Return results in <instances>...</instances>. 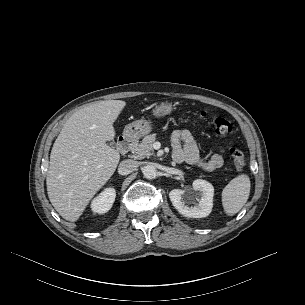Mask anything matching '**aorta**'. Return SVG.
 Listing matches in <instances>:
<instances>
[{
    "mask_svg": "<svg viewBox=\"0 0 305 305\" xmlns=\"http://www.w3.org/2000/svg\"><path fill=\"white\" fill-rule=\"evenodd\" d=\"M143 175L147 179H154L157 176V170L153 165H146L143 167Z\"/></svg>",
    "mask_w": 305,
    "mask_h": 305,
    "instance_id": "762f6f07",
    "label": "aorta"
}]
</instances>
